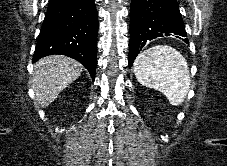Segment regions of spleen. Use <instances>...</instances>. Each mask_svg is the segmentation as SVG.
<instances>
[{"instance_id": "3e777b00", "label": "spleen", "mask_w": 227, "mask_h": 166, "mask_svg": "<svg viewBox=\"0 0 227 166\" xmlns=\"http://www.w3.org/2000/svg\"><path fill=\"white\" fill-rule=\"evenodd\" d=\"M133 69L139 83L163 93L171 105L183 103L190 89V73L187 61L176 49L158 45L142 51Z\"/></svg>"}]
</instances>
